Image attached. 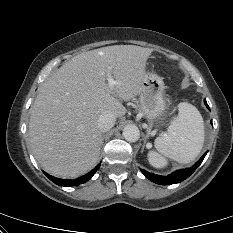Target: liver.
<instances>
[{"instance_id":"6515ba94","label":"liver","mask_w":233,"mask_h":233,"mask_svg":"<svg viewBox=\"0 0 233 233\" xmlns=\"http://www.w3.org/2000/svg\"><path fill=\"white\" fill-rule=\"evenodd\" d=\"M152 49L114 45L74 56L40 87L31 109L30 145L36 161L51 175L75 178L97 163L103 143L97 123L111 112L123 117L140 93ZM116 84L110 87L107 77Z\"/></svg>"}]
</instances>
